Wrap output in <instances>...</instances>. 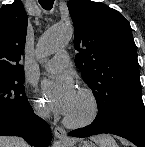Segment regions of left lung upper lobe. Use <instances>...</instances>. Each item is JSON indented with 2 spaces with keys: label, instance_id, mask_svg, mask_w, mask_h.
Returning <instances> with one entry per match:
<instances>
[{
  "label": "left lung upper lobe",
  "instance_id": "5c2ea615",
  "mask_svg": "<svg viewBox=\"0 0 145 147\" xmlns=\"http://www.w3.org/2000/svg\"><path fill=\"white\" fill-rule=\"evenodd\" d=\"M75 64L98 105L96 121L143 104L137 50L130 23L101 2L69 0Z\"/></svg>",
  "mask_w": 145,
  "mask_h": 147
}]
</instances>
